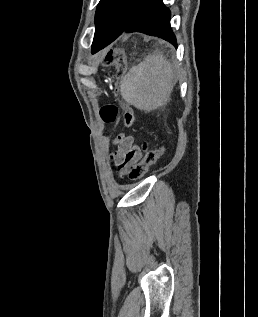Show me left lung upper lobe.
<instances>
[{
	"label": "left lung upper lobe",
	"mask_w": 258,
	"mask_h": 317,
	"mask_svg": "<svg viewBox=\"0 0 258 317\" xmlns=\"http://www.w3.org/2000/svg\"><path fill=\"white\" fill-rule=\"evenodd\" d=\"M131 0H100L96 15V28H120L126 19Z\"/></svg>",
	"instance_id": "1"
}]
</instances>
